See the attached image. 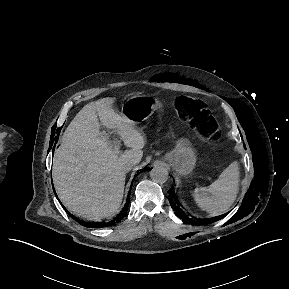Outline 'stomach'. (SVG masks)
Instances as JSON below:
<instances>
[{
    "label": "stomach",
    "mask_w": 289,
    "mask_h": 289,
    "mask_svg": "<svg viewBox=\"0 0 289 289\" xmlns=\"http://www.w3.org/2000/svg\"><path fill=\"white\" fill-rule=\"evenodd\" d=\"M160 106L157 100L149 96L135 95L122 104L121 114L138 123L148 119ZM196 160V153L191 143L186 138L178 139L169 155L173 168L179 174L187 175L193 171Z\"/></svg>",
    "instance_id": "obj_1"
}]
</instances>
